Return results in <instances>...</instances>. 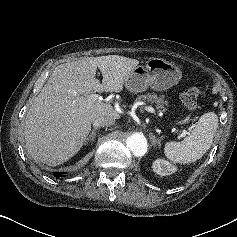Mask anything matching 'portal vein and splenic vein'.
Returning a JSON list of instances; mask_svg holds the SVG:
<instances>
[{
	"mask_svg": "<svg viewBox=\"0 0 237 237\" xmlns=\"http://www.w3.org/2000/svg\"><path fill=\"white\" fill-rule=\"evenodd\" d=\"M90 99L101 101V100H102V97L99 96L98 94H91V95H90ZM145 110L148 111V112H151V113H153V112L155 111V110H154L152 107H150V106H146V107H145ZM187 134H189L188 131L182 130V136H186Z\"/></svg>",
	"mask_w": 237,
	"mask_h": 237,
	"instance_id": "1",
	"label": "portal vein and splenic vein"
}]
</instances>
